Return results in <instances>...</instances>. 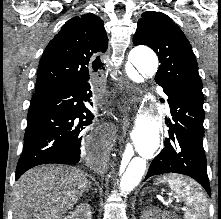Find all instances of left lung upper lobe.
I'll return each mask as SVG.
<instances>
[{
  "mask_svg": "<svg viewBox=\"0 0 221 219\" xmlns=\"http://www.w3.org/2000/svg\"><path fill=\"white\" fill-rule=\"evenodd\" d=\"M133 43L149 46L157 54L160 66L155 81L165 92L184 95L203 104L202 81L191 45L167 15L144 12Z\"/></svg>",
  "mask_w": 221,
  "mask_h": 219,
  "instance_id": "5c2ea615",
  "label": "left lung upper lobe"
}]
</instances>
